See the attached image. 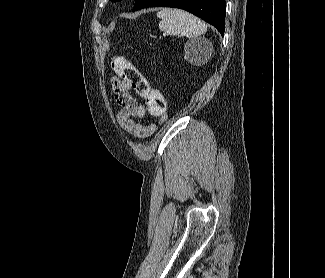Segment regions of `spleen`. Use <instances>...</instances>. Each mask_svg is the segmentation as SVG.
Listing matches in <instances>:
<instances>
[{"label":"spleen","instance_id":"obj_1","mask_svg":"<svg viewBox=\"0 0 325 278\" xmlns=\"http://www.w3.org/2000/svg\"><path fill=\"white\" fill-rule=\"evenodd\" d=\"M159 28L170 35L193 38L203 35L207 26L199 18L179 9H162L157 13Z\"/></svg>","mask_w":325,"mask_h":278}]
</instances>
